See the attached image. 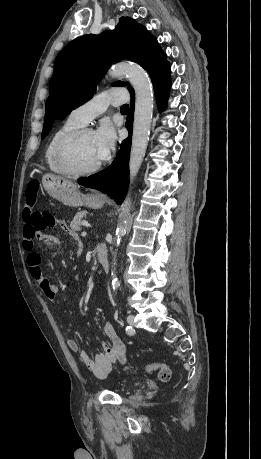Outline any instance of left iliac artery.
I'll return each instance as SVG.
<instances>
[{
    "label": "left iliac artery",
    "mask_w": 261,
    "mask_h": 459,
    "mask_svg": "<svg viewBox=\"0 0 261 459\" xmlns=\"http://www.w3.org/2000/svg\"><path fill=\"white\" fill-rule=\"evenodd\" d=\"M125 330L127 334H130V335L134 334V330L131 326H127Z\"/></svg>",
    "instance_id": "left-iliac-artery-1"
}]
</instances>
